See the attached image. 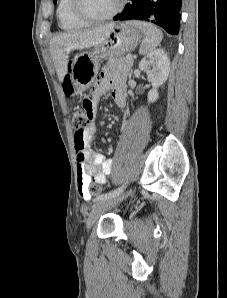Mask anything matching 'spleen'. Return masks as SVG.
Instances as JSON below:
<instances>
[{"instance_id":"obj_1","label":"spleen","mask_w":227,"mask_h":298,"mask_svg":"<svg viewBox=\"0 0 227 298\" xmlns=\"http://www.w3.org/2000/svg\"><path fill=\"white\" fill-rule=\"evenodd\" d=\"M129 23L140 29L144 34V40L140 46L139 53L145 55L154 51L163 38L162 31L151 23L142 21H130Z\"/></svg>"}]
</instances>
